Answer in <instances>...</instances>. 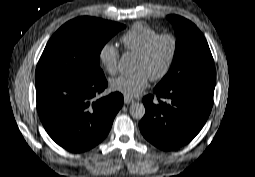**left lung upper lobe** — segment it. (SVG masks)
I'll return each mask as SVG.
<instances>
[{
  "label": "left lung upper lobe",
  "instance_id": "5c2ea615",
  "mask_svg": "<svg viewBox=\"0 0 255 177\" xmlns=\"http://www.w3.org/2000/svg\"><path fill=\"white\" fill-rule=\"evenodd\" d=\"M176 35V49L172 66L155 87L170 88L196 76L215 75L213 57L200 30L189 20L170 15Z\"/></svg>",
  "mask_w": 255,
  "mask_h": 177
}]
</instances>
